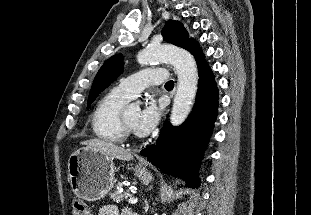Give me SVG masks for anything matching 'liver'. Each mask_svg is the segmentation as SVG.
Listing matches in <instances>:
<instances>
[{
	"label": "liver",
	"instance_id": "liver-1",
	"mask_svg": "<svg viewBox=\"0 0 311 215\" xmlns=\"http://www.w3.org/2000/svg\"><path fill=\"white\" fill-rule=\"evenodd\" d=\"M86 147L99 151L110 159H118L123 161H130L133 159V155L129 150H125L113 143L99 140V139H90L80 143Z\"/></svg>",
	"mask_w": 311,
	"mask_h": 215
}]
</instances>
